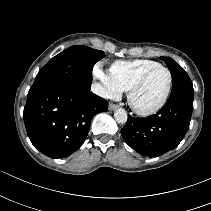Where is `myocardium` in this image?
<instances>
[{
  "instance_id": "obj_1",
  "label": "myocardium",
  "mask_w": 211,
  "mask_h": 211,
  "mask_svg": "<svg viewBox=\"0 0 211 211\" xmlns=\"http://www.w3.org/2000/svg\"><path fill=\"white\" fill-rule=\"evenodd\" d=\"M158 69H162L165 70L168 74V85H167V89L165 91V94L163 96V98L161 99V101L156 104L155 106L148 108V109H141L138 108L133 101L134 95L135 93L143 86V84L145 83L146 79L149 77V75L151 73H153L154 71L158 70ZM172 84H173V75L172 72L170 71L169 68L163 66V65H157L155 67H152L148 70H146L134 83L133 85L129 88L128 90V94H127V99L129 102V105L131 106V108L134 110L135 113H137L138 115L141 116H151L153 114H156L157 112H159L167 103L170 93H171V89H172Z\"/></svg>"
}]
</instances>
